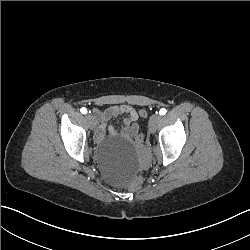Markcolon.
Returning <instances> with one entry per match:
<instances>
[{
	"instance_id": "1",
	"label": "colon",
	"mask_w": 250,
	"mask_h": 250,
	"mask_svg": "<svg viewBox=\"0 0 250 250\" xmlns=\"http://www.w3.org/2000/svg\"><path fill=\"white\" fill-rule=\"evenodd\" d=\"M146 111L145 110H139L138 116L145 118L146 117ZM144 142V136L142 134H139L135 137V143L138 145L143 144ZM146 183V178L143 175L136 176L135 180L128 185V190L131 193H138L140 190L143 189L144 185Z\"/></svg>"
}]
</instances>
